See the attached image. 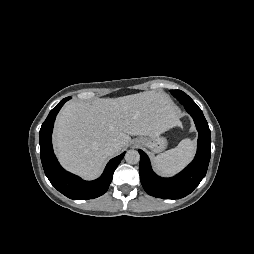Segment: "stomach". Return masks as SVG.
I'll use <instances>...</instances> for the list:
<instances>
[{
    "label": "stomach",
    "instance_id": "0dacf381",
    "mask_svg": "<svg viewBox=\"0 0 254 254\" xmlns=\"http://www.w3.org/2000/svg\"><path fill=\"white\" fill-rule=\"evenodd\" d=\"M134 142L150 149L153 153L161 152L167 147V140L161 136L140 137Z\"/></svg>",
    "mask_w": 254,
    "mask_h": 254
}]
</instances>
